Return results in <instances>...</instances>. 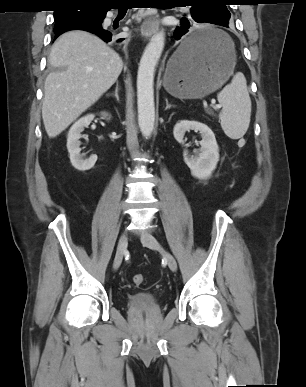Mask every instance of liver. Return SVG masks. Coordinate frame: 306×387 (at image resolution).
Returning a JSON list of instances; mask_svg holds the SVG:
<instances>
[{"mask_svg": "<svg viewBox=\"0 0 306 387\" xmlns=\"http://www.w3.org/2000/svg\"><path fill=\"white\" fill-rule=\"evenodd\" d=\"M44 85L42 118L54 138L91 107L118 79L123 62L99 37L69 31L52 45Z\"/></svg>", "mask_w": 306, "mask_h": 387, "instance_id": "6515ba94", "label": "liver"}]
</instances>
